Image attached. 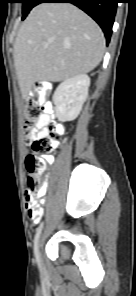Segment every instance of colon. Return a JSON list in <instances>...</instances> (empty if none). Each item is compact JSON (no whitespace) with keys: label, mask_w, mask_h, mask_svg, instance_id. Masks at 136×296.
<instances>
[{"label":"colon","mask_w":136,"mask_h":296,"mask_svg":"<svg viewBox=\"0 0 136 296\" xmlns=\"http://www.w3.org/2000/svg\"><path fill=\"white\" fill-rule=\"evenodd\" d=\"M46 110L47 108L34 100H30L24 109V138L25 143L31 148L25 158L28 185L24 195V202L26 215L33 221L40 219L38 199L43 189L41 179L47 168L46 155L55 148L56 136L64 131L61 125L49 121L44 123L47 129L46 135L40 137L34 135V131L42 123L41 118Z\"/></svg>","instance_id":"obj_1"}]
</instances>
